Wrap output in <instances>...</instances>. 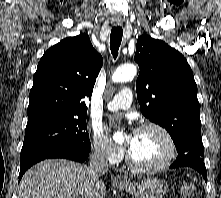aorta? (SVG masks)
I'll list each match as a JSON object with an SVG mask.
<instances>
[{
	"label": "aorta",
	"mask_w": 221,
	"mask_h": 198,
	"mask_svg": "<svg viewBox=\"0 0 221 198\" xmlns=\"http://www.w3.org/2000/svg\"><path fill=\"white\" fill-rule=\"evenodd\" d=\"M137 73V68L134 65H123L118 67L112 74V81L114 83H122L132 80ZM122 136V133L117 132L114 134L113 138L116 140Z\"/></svg>",
	"instance_id": "aorta-1"
}]
</instances>
